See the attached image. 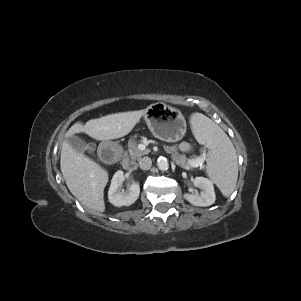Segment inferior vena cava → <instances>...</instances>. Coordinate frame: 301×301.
I'll list each match as a JSON object with an SVG mask.
<instances>
[{"label":"inferior vena cava","mask_w":301,"mask_h":301,"mask_svg":"<svg viewBox=\"0 0 301 301\" xmlns=\"http://www.w3.org/2000/svg\"><path fill=\"white\" fill-rule=\"evenodd\" d=\"M139 166L142 170H148L152 166V161L149 157H144L140 159Z\"/></svg>","instance_id":"obj_1"}]
</instances>
